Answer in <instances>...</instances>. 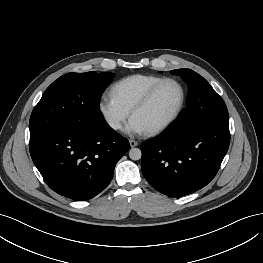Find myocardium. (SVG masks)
<instances>
[{"instance_id":"obj_1","label":"myocardium","mask_w":263,"mask_h":263,"mask_svg":"<svg viewBox=\"0 0 263 263\" xmlns=\"http://www.w3.org/2000/svg\"><path fill=\"white\" fill-rule=\"evenodd\" d=\"M167 82H172L175 83L181 90V99H180V103L177 107V109L175 110V112L163 123L155 126L154 128H151L147 131H144V134L147 136H153L156 135L162 131H164L165 129H167L170 125H172L177 118L180 116V114L182 113L185 104H186V100H187V90L186 87L184 86V84L178 80L177 78H173V77H166L161 79L160 81H158L156 84H154L144 95L143 97L132 107V109L130 110V116L131 118L133 117V115L138 112L139 110L143 109L144 107H146L148 105V103L151 101L152 97L154 96V94L156 93V91L165 83Z\"/></svg>"}]
</instances>
